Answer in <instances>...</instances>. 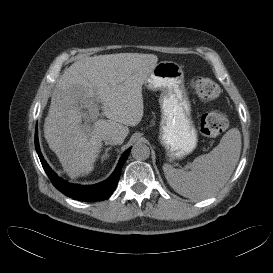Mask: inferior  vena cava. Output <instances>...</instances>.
Returning <instances> with one entry per match:
<instances>
[{"label": "inferior vena cava", "mask_w": 273, "mask_h": 273, "mask_svg": "<svg viewBox=\"0 0 273 273\" xmlns=\"http://www.w3.org/2000/svg\"><path fill=\"white\" fill-rule=\"evenodd\" d=\"M104 142L105 144H108V145H117V144L120 145L122 143V140L118 136L112 135V136H107L104 139Z\"/></svg>", "instance_id": "602c4592"}]
</instances>
